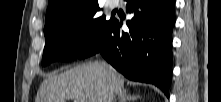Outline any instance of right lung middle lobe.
<instances>
[{"mask_svg": "<svg viewBox=\"0 0 221 102\" xmlns=\"http://www.w3.org/2000/svg\"><path fill=\"white\" fill-rule=\"evenodd\" d=\"M98 11L96 1L65 8L46 20L42 65L55 60H75L91 48L113 19L98 16Z\"/></svg>", "mask_w": 221, "mask_h": 102, "instance_id": "1", "label": "right lung middle lobe"}]
</instances>
